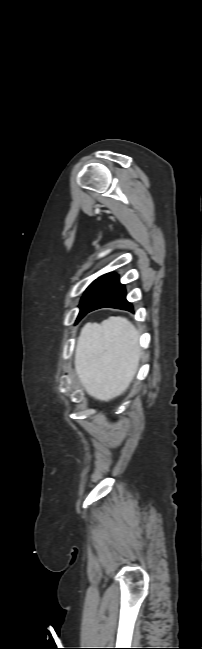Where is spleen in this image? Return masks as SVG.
Returning a JSON list of instances; mask_svg holds the SVG:
<instances>
[{
	"label": "spleen",
	"mask_w": 202,
	"mask_h": 649,
	"mask_svg": "<svg viewBox=\"0 0 202 649\" xmlns=\"http://www.w3.org/2000/svg\"><path fill=\"white\" fill-rule=\"evenodd\" d=\"M138 338L136 328L122 317L82 329L74 365L89 395L108 401L126 390L139 365Z\"/></svg>",
	"instance_id": "3e777b00"
}]
</instances>
